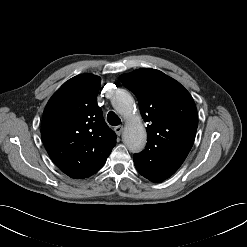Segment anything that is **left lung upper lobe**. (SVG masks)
<instances>
[{"instance_id": "obj_1", "label": "left lung upper lobe", "mask_w": 247, "mask_h": 247, "mask_svg": "<svg viewBox=\"0 0 247 247\" xmlns=\"http://www.w3.org/2000/svg\"><path fill=\"white\" fill-rule=\"evenodd\" d=\"M122 84L135 94L147 127L148 152L188 155L195 139L198 116L190 93L161 71L138 69L120 76Z\"/></svg>"}]
</instances>
